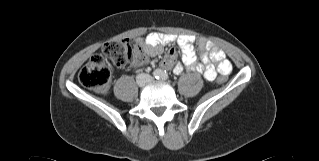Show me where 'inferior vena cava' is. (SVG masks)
<instances>
[{"label": "inferior vena cava", "mask_w": 319, "mask_h": 161, "mask_svg": "<svg viewBox=\"0 0 319 161\" xmlns=\"http://www.w3.org/2000/svg\"><path fill=\"white\" fill-rule=\"evenodd\" d=\"M137 83L139 85H145L152 80V77L149 74H139L136 77Z\"/></svg>", "instance_id": "inferior-vena-cava-1"}]
</instances>
